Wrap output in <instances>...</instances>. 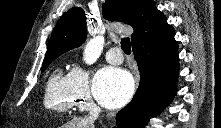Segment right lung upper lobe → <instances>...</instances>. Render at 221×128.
Returning <instances> with one entry per match:
<instances>
[{"label":"right lung upper lobe","mask_w":221,"mask_h":128,"mask_svg":"<svg viewBox=\"0 0 221 128\" xmlns=\"http://www.w3.org/2000/svg\"><path fill=\"white\" fill-rule=\"evenodd\" d=\"M102 11L105 19L121 21L133 27L132 46L161 45L174 34V29L167 24L166 17L151 0H106ZM86 36L84 10L74 7L64 13L56 24L45 59L57 58L80 46Z\"/></svg>","instance_id":"cb5924a9"}]
</instances>
